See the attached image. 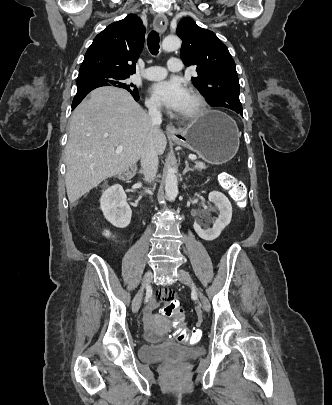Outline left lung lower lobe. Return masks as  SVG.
<instances>
[{"label": "left lung lower lobe", "mask_w": 332, "mask_h": 405, "mask_svg": "<svg viewBox=\"0 0 332 405\" xmlns=\"http://www.w3.org/2000/svg\"><path fill=\"white\" fill-rule=\"evenodd\" d=\"M235 112L240 113V114H242V113H243V112H242V108H241V109H239V110H237V111H235Z\"/></svg>", "instance_id": "1"}]
</instances>
